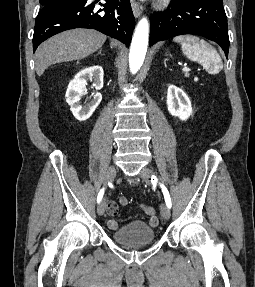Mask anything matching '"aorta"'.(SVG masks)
Listing matches in <instances>:
<instances>
[{
	"label": "aorta",
	"instance_id": "1",
	"mask_svg": "<svg viewBox=\"0 0 255 287\" xmlns=\"http://www.w3.org/2000/svg\"><path fill=\"white\" fill-rule=\"evenodd\" d=\"M149 24L146 18H142L133 35L130 53L129 66L132 74H135L142 66L148 46Z\"/></svg>",
	"mask_w": 255,
	"mask_h": 287
}]
</instances>
